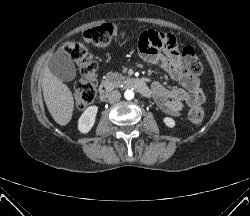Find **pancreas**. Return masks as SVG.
I'll return each mask as SVG.
<instances>
[{
	"mask_svg": "<svg viewBox=\"0 0 250 216\" xmlns=\"http://www.w3.org/2000/svg\"><path fill=\"white\" fill-rule=\"evenodd\" d=\"M123 80H126L125 76L118 73H114L106 77L105 83L110 85L112 88H115L119 86Z\"/></svg>",
	"mask_w": 250,
	"mask_h": 216,
	"instance_id": "1",
	"label": "pancreas"
}]
</instances>
